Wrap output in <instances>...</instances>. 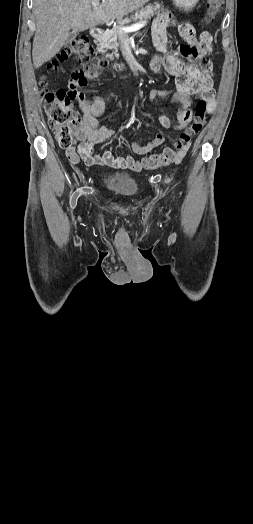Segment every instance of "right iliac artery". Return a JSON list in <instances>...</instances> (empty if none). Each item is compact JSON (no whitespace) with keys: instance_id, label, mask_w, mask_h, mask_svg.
I'll return each instance as SVG.
<instances>
[{"instance_id":"right-iliac-artery-1","label":"right iliac artery","mask_w":253,"mask_h":524,"mask_svg":"<svg viewBox=\"0 0 253 524\" xmlns=\"http://www.w3.org/2000/svg\"><path fill=\"white\" fill-rule=\"evenodd\" d=\"M78 197H79L78 194H75V195L72 197V199H71V201H70L71 208H75V207H76Z\"/></svg>"}]
</instances>
